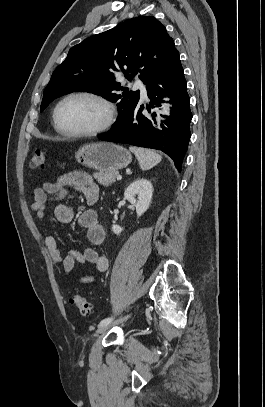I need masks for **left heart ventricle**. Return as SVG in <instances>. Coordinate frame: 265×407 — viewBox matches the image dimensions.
Here are the masks:
<instances>
[{"mask_svg": "<svg viewBox=\"0 0 265 407\" xmlns=\"http://www.w3.org/2000/svg\"><path fill=\"white\" fill-rule=\"evenodd\" d=\"M106 118L104 107L95 100L75 97L65 101L59 109L60 126L69 131H82L95 128Z\"/></svg>", "mask_w": 265, "mask_h": 407, "instance_id": "left-heart-ventricle-1", "label": "left heart ventricle"}]
</instances>
